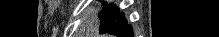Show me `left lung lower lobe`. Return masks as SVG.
<instances>
[{"label":"left lung lower lobe","instance_id":"0a47b994","mask_svg":"<svg viewBox=\"0 0 219 37\" xmlns=\"http://www.w3.org/2000/svg\"><path fill=\"white\" fill-rule=\"evenodd\" d=\"M106 33L118 37H133L132 28L127 24L123 13L119 14L113 25L107 30Z\"/></svg>","mask_w":219,"mask_h":37}]
</instances>
